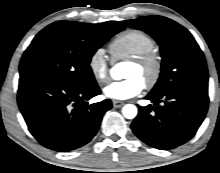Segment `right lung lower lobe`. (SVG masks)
I'll return each instance as SVG.
<instances>
[{
    "label": "right lung lower lobe",
    "instance_id": "obj_1",
    "mask_svg": "<svg viewBox=\"0 0 220 173\" xmlns=\"http://www.w3.org/2000/svg\"><path fill=\"white\" fill-rule=\"evenodd\" d=\"M101 93L97 83L72 86L48 77H20L18 105L29 131L44 147L66 152L96 134L111 100L88 105Z\"/></svg>",
    "mask_w": 220,
    "mask_h": 173
}]
</instances>
